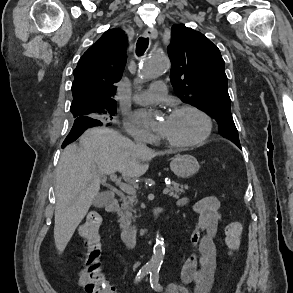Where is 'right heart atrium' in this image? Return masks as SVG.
<instances>
[{"mask_svg": "<svg viewBox=\"0 0 293 293\" xmlns=\"http://www.w3.org/2000/svg\"><path fill=\"white\" fill-rule=\"evenodd\" d=\"M123 128L130 136L141 139L146 142H152L154 138L144 129L140 128L138 125L133 123L128 118H124L123 120Z\"/></svg>", "mask_w": 293, "mask_h": 293, "instance_id": "right-heart-atrium-1", "label": "right heart atrium"}]
</instances>
